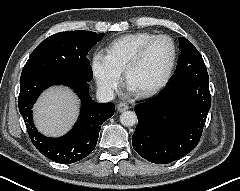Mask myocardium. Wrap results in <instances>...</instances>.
<instances>
[{"label":"myocardium","instance_id":"obj_1","mask_svg":"<svg viewBox=\"0 0 240 191\" xmlns=\"http://www.w3.org/2000/svg\"><path fill=\"white\" fill-rule=\"evenodd\" d=\"M160 39L168 40L171 44L172 55H171L170 63L165 72V75L156 85H154L150 88L137 90L138 95L143 96V97H148V96L154 95L155 93L159 92L162 88H164L166 86V84L170 80L171 75L174 70V67H175V64H176V60H177V47H176L174 40L170 36L165 35V34H159V35L153 36L152 38H150L148 41H146L140 47V49L137 51V53L134 55V57L127 63V65L125 66L124 71H123L124 78H125L126 82L128 83V77H129L130 72L142 62V60L144 59L150 46L155 41L160 40Z\"/></svg>","mask_w":240,"mask_h":191}]
</instances>
